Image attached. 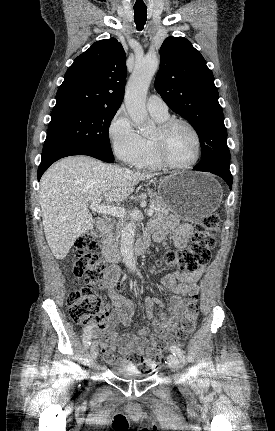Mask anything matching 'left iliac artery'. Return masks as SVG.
Returning a JSON list of instances; mask_svg holds the SVG:
<instances>
[{
  "mask_svg": "<svg viewBox=\"0 0 275 431\" xmlns=\"http://www.w3.org/2000/svg\"><path fill=\"white\" fill-rule=\"evenodd\" d=\"M170 351L173 353L174 356H177L181 359L184 357L183 350L176 345L171 346Z\"/></svg>",
  "mask_w": 275,
  "mask_h": 431,
  "instance_id": "1",
  "label": "left iliac artery"
}]
</instances>
